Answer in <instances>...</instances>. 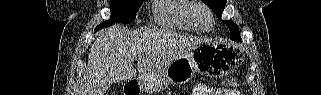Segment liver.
<instances>
[{
    "instance_id": "obj_1",
    "label": "liver",
    "mask_w": 321,
    "mask_h": 95,
    "mask_svg": "<svg viewBox=\"0 0 321 95\" xmlns=\"http://www.w3.org/2000/svg\"><path fill=\"white\" fill-rule=\"evenodd\" d=\"M176 42V48L173 51ZM206 40L163 30L139 34L125 32L121 25L102 30L88 54V64L77 95H103L110 84L160 70L171 61L190 53ZM137 70L133 66L135 58Z\"/></svg>"
}]
</instances>
